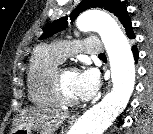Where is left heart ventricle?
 <instances>
[{
  "label": "left heart ventricle",
  "mask_w": 153,
  "mask_h": 134,
  "mask_svg": "<svg viewBox=\"0 0 153 134\" xmlns=\"http://www.w3.org/2000/svg\"><path fill=\"white\" fill-rule=\"evenodd\" d=\"M60 78L65 94L71 99L79 100L76 85L77 71L65 68L61 71Z\"/></svg>",
  "instance_id": "left-heart-ventricle-1"
}]
</instances>
